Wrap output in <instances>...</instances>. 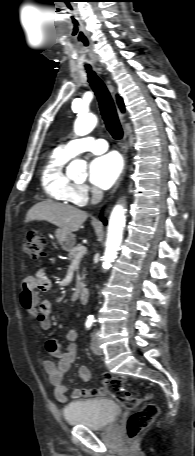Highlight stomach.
Wrapping results in <instances>:
<instances>
[{
  "label": "stomach",
  "mask_w": 195,
  "mask_h": 456,
  "mask_svg": "<svg viewBox=\"0 0 195 456\" xmlns=\"http://www.w3.org/2000/svg\"><path fill=\"white\" fill-rule=\"evenodd\" d=\"M55 237L64 250L71 249L75 244V236L72 233L64 232L62 229L55 231Z\"/></svg>",
  "instance_id": "1"
}]
</instances>
